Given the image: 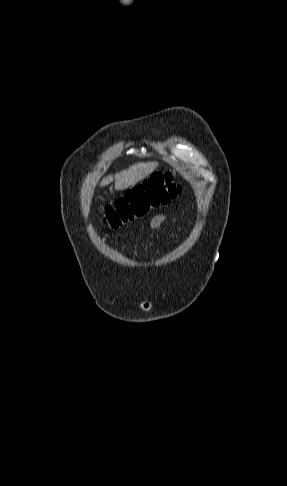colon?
<instances>
[{"label": "colon", "mask_w": 287, "mask_h": 486, "mask_svg": "<svg viewBox=\"0 0 287 486\" xmlns=\"http://www.w3.org/2000/svg\"><path fill=\"white\" fill-rule=\"evenodd\" d=\"M181 186L169 172L151 175L142 183L128 189L113 203L103 208L104 220L111 228L143 218L167 204L181 193Z\"/></svg>", "instance_id": "1"}]
</instances>
